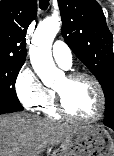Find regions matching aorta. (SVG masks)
I'll return each instance as SVG.
<instances>
[{"instance_id":"aorta-1","label":"aorta","mask_w":114,"mask_h":156,"mask_svg":"<svg viewBox=\"0 0 114 156\" xmlns=\"http://www.w3.org/2000/svg\"><path fill=\"white\" fill-rule=\"evenodd\" d=\"M60 29V19L50 17L40 23L33 35L30 47V60L36 74L42 82L49 86L62 75L54 64L51 47Z\"/></svg>"}]
</instances>
